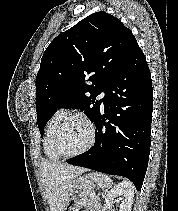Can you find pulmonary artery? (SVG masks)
<instances>
[{
  "instance_id": "e3ab8cb5",
  "label": "pulmonary artery",
  "mask_w": 178,
  "mask_h": 211,
  "mask_svg": "<svg viewBox=\"0 0 178 211\" xmlns=\"http://www.w3.org/2000/svg\"><path fill=\"white\" fill-rule=\"evenodd\" d=\"M99 98L100 99H103V100H106L107 99V95L105 92H102L100 95H99Z\"/></svg>"
}]
</instances>
